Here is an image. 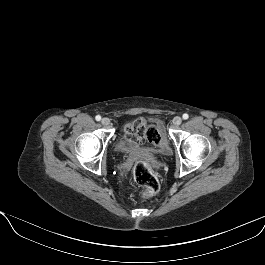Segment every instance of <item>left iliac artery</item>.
<instances>
[{
  "label": "left iliac artery",
  "mask_w": 265,
  "mask_h": 265,
  "mask_svg": "<svg viewBox=\"0 0 265 265\" xmlns=\"http://www.w3.org/2000/svg\"><path fill=\"white\" fill-rule=\"evenodd\" d=\"M182 117H183L184 120H186V119L189 118V115L187 113H184Z\"/></svg>",
  "instance_id": "left-iliac-artery-1"
}]
</instances>
